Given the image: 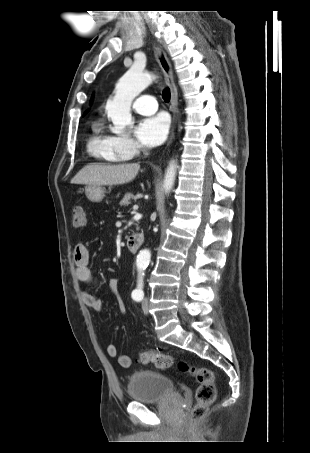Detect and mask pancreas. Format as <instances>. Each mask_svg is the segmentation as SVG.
<instances>
[{
	"instance_id": "1",
	"label": "pancreas",
	"mask_w": 310,
	"mask_h": 453,
	"mask_svg": "<svg viewBox=\"0 0 310 453\" xmlns=\"http://www.w3.org/2000/svg\"><path fill=\"white\" fill-rule=\"evenodd\" d=\"M134 198V195L132 193H126L124 198L120 201V206H128L131 204V199Z\"/></svg>"
}]
</instances>
